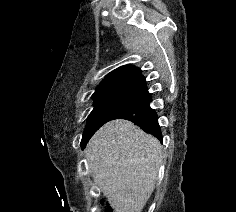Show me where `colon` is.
<instances>
[{
  "label": "colon",
  "instance_id": "colon-1",
  "mask_svg": "<svg viewBox=\"0 0 236 212\" xmlns=\"http://www.w3.org/2000/svg\"><path fill=\"white\" fill-rule=\"evenodd\" d=\"M108 212H113V209H112V208H109Z\"/></svg>",
  "mask_w": 236,
  "mask_h": 212
}]
</instances>
